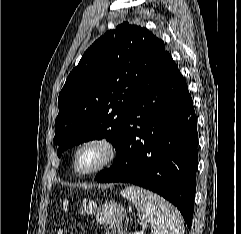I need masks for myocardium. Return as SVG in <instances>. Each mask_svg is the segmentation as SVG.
I'll return each mask as SVG.
<instances>
[{
	"mask_svg": "<svg viewBox=\"0 0 241 234\" xmlns=\"http://www.w3.org/2000/svg\"><path fill=\"white\" fill-rule=\"evenodd\" d=\"M90 146L99 147L103 151V157L94 167L87 170H81L77 165L78 155L83 149ZM117 154L118 150L115 143L108 137L92 136L86 138L81 141L74 149L72 156L73 169L79 175H92L111 165L115 161Z\"/></svg>",
	"mask_w": 241,
	"mask_h": 234,
	"instance_id": "1",
	"label": "myocardium"
}]
</instances>
